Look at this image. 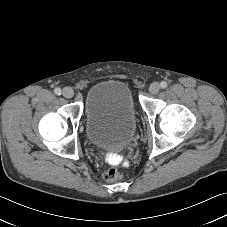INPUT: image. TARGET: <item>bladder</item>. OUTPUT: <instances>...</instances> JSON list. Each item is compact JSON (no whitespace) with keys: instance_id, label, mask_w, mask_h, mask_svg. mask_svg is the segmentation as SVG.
<instances>
[{"instance_id":"bladder-1","label":"bladder","mask_w":227,"mask_h":227,"mask_svg":"<svg viewBox=\"0 0 227 227\" xmlns=\"http://www.w3.org/2000/svg\"><path fill=\"white\" fill-rule=\"evenodd\" d=\"M85 132L90 143L118 151L128 147L137 129V112L127 84L109 80L92 87L85 101Z\"/></svg>"}]
</instances>
